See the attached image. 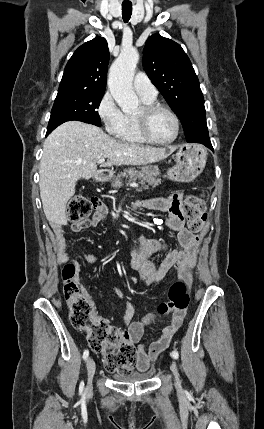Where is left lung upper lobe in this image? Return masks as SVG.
I'll use <instances>...</instances> for the list:
<instances>
[{
    "mask_svg": "<svg viewBox=\"0 0 264 429\" xmlns=\"http://www.w3.org/2000/svg\"><path fill=\"white\" fill-rule=\"evenodd\" d=\"M143 67L179 117L187 142L210 140L203 94L182 47L159 34L150 36L143 50Z\"/></svg>",
    "mask_w": 264,
    "mask_h": 429,
    "instance_id": "left-lung-upper-lobe-1",
    "label": "left lung upper lobe"
}]
</instances>
